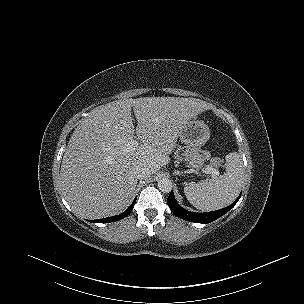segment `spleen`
<instances>
[{
    "instance_id": "obj_1",
    "label": "spleen",
    "mask_w": 304,
    "mask_h": 304,
    "mask_svg": "<svg viewBox=\"0 0 304 304\" xmlns=\"http://www.w3.org/2000/svg\"><path fill=\"white\" fill-rule=\"evenodd\" d=\"M226 172L223 175L192 182L184 187L187 200L197 209L213 211L231 204L243 185L244 169L241 156L231 152L225 157Z\"/></svg>"
}]
</instances>
